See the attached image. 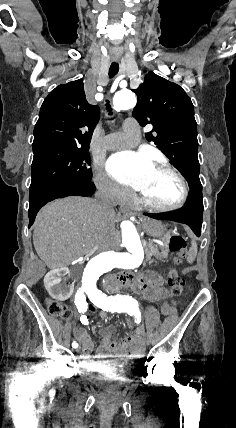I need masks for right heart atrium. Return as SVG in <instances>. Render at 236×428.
Returning a JSON list of instances; mask_svg holds the SVG:
<instances>
[{"instance_id": "right-heart-atrium-1", "label": "right heart atrium", "mask_w": 236, "mask_h": 428, "mask_svg": "<svg viewBox=\"0 0 236 428\" xmlns=\"http://www.w3.org/2000/svg\"><path fill=\"white\" fill-rule=\"evenodd\" d=\"M93 183L97 192L105 200H113L114 204H123L132 196L131 192L119 186L100 169L94 173Z\"/></svg>"}]
</instances>
